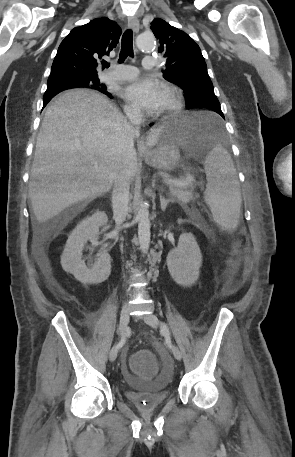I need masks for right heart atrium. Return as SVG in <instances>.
I'll return each mask as SVG.
<instances>
[{
  "label": "right heart atrium",
  "mask_w": 295,
  "mask_h": 457,
  "mask_svg": "<svg viewBox=\"0 0 295 457\" xmlns=\"http://www.w3.org/2000/svg\"><path fill=\"white\" fill-rule=\"evenodd\" d=\"M126 113L130 116V117H134V118H138L141 116V112L139 109H137L136 107L134 106H131V105H127L126 106Z\"/></svg>",
  "instance_id": "right-heart-atrium-1"
}]
</instances>
